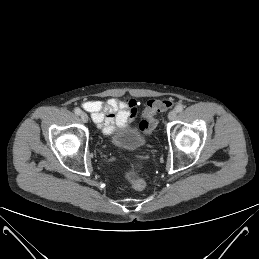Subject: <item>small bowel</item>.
<instances>
[{"label":"small bowel","mask_w":259,"mask_h":259,"mask_svg":"<svg viewBox=\"0 0 259 259\" xmlns=\"http://www.w3.org/2000/svg\"><path fill=\"white\" fill-rule=\"evenodd\" d=\"M81 106L91 114L92 120L105 133L114 125L124 127L133 122L137 113V102L134 99L87 100Z\"/></svg>","instance_id":"1"}]
</instances>
